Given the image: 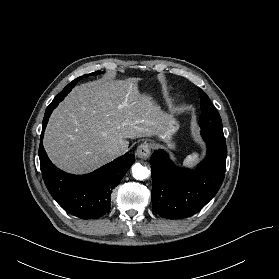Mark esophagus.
I'll return each instance as SVG.
<instances>
[{"label": "esophagus", "instance_id": "esophagus-1", "mask_svg": "<svg viewBox=\"0 0 279 279\" xmlns=\"http://www.w3.org/2000/svg\"><path fill=\"white\" fill-rule=\"evenodd\" d=\"M152 146L150 143H142L136 149V156L140 159H147L151 154Z\"/></svg>", "mask_w": 279, "mask_h": 279}]
</instances>
